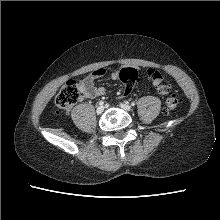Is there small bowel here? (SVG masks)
Instances as JSON below:
<instances>
[{"label":"small bowel","mask_w":220,"mask_h":220,"mask_svg":"<svg viewBox=\"0 0 220 220\" xmlns=\"http://www.w3.org/2000/svg\"><path fill=\"white\" fill-rule=\"evenodd\" d=\"M106 73L107 71L105 69L98 68V69H95L91 74H89L86 78H84L83 80L79 82V88L81 90L83 97L91 99V98H95V97L105 94L106 92L105 88L97 87L95 85V81L103 77L104 75H106ZM119 74H120V71L115 70L110 73V76L112 79L117 80L119 79ZM160 83L161 81H157V80L152 81V84L155 87H157ZM122 95L127 96L129 95V93L124 94L122 92Z\"/></svg>","instance_id":"c3829d8e"}]
</instances>
